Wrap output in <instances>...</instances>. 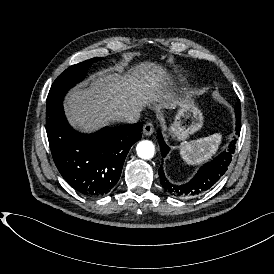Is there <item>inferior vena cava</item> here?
Here are the masks:
<instances>
[{"label": "inferior vena cava", "instance_id": "602c4592", "mask_svg": "<svg viewBox=\"0 0 274 274\" xmlns=\"http://www.w3.org/2000/svg\"><path fill=\"white\" fill-rule=\"evenodd\" d=\"M141 118L140 111L137 109L125 111L119 114V120L127 124L137 123Z\"/></svg>", "mask_w": 274, "mask_h": 274}]
</instances>
